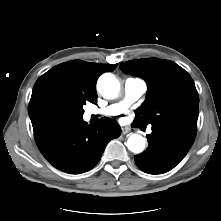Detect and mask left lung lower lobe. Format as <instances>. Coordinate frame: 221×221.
I'll return each mask as SVG.
<instances>
[{"instance_id": "obj_1", "label": "left lung lower lobe", "mask_w": 221, "mask_h": 221, "mask_svg": "<svg viewBox=\"0 0 221 221\" xmlns=\"http://www.w3.org/2000/svg\"><path fill=\"white\" fill-rule=\"evenodd\" d=\"M146 151L135 156L137 166L149 174L170 171L191 148L196 132L169 124H153Z\"/></svg>"}]
</instances>
